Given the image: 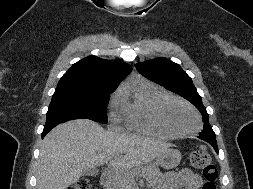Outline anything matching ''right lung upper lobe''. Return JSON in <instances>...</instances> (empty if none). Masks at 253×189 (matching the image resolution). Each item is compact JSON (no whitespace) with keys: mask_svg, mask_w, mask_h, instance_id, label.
<instances>
[{"mask_svg":"<svg viewBox=\"0 0 253 189\" xmlns=\"http://www.w3.org/2000/svg\"><path fill=\"white\" fill-rule=\"evenodd\" d=\"M131 70L132 67L123 61H109L96 56H89L73 64L61 77L56 89H116Z\"/></svg>","mask_w":253,"mask_h":189,"instance_id":"1","label":"right lung upper lobe"}]
</instances>
